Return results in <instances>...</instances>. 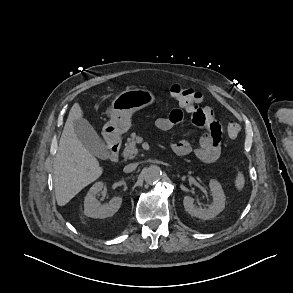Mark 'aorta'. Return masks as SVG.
Returning <instances> with one entry per match:
<instances>
[{"mask_svg": "<svg viewBox=\"0 0 293 293\" xmlns=\"http://www.w3.org/2000/svg\"><path fill=\"white\" fill-rule=\"evenodd\" d=\"M162 177L161 169L152 165L144 170V179L147 183H155L158 182Z\"/></svg>", "mask_w": 293, "mask_h": 293, "instance_id": "762f6f07", "label": "aorta"}]
</instances>
